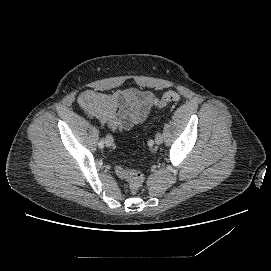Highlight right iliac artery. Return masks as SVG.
Segmentation results:
<instances>
[{"label": "right iliac artery", "mask_w": 271, "mask_h": 271, "mask_svg": "<svg viewBox=\"0 0 271 271\" xmlns=\"http://www.w3.org/2000/svg\"><path fill=\"white\" fill-rule=\"evenodd\" d=\"M98 146H99L100 149L104 148V141H103V139H101L99 141Z\"/></svg>", "instance_id": "right-iliac-artery-1"}]
</instances>
